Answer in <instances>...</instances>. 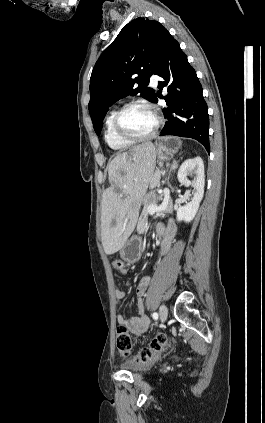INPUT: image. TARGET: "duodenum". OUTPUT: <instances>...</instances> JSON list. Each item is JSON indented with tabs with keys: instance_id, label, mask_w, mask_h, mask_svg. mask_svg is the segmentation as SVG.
I'll use <instances>...</instances> for the list:
<instances>
[{
	"instance_id": "obj_1",
	"label": "duodenum",
	"mask_w": 265,
	"mask_h": 423,
	"mask_svg": "<svg viewBox=\"0 0 265 423\" xmlns=\"http://www.w3.org/2000/svg\"><path fill=\"white\" fill-rule=\"evenodd\" d=\"M157 234L162 237L164 235V232L162 230H158Z\"/></svg>"
}]
</instances>
